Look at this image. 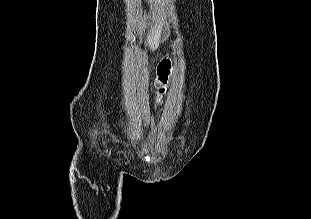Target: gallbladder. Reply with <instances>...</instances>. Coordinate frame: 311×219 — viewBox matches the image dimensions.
I'll list each match as a JSON object with an SVG mask.
<instances>
[{
    "instance_id": "gallbladder-1",
    "label": "gallbladder",
    "mask_w": 311,
    "mask_h": 219,
    "mask_svg": "<svg viewBox=\"0 0 311 219\" xmlns=\"http://www.w3.org/2000/svg\"><path fill=\"white\" fill-rule=\"evenodd\" d=\"M169 35H170V27L168 25H164L162 30H161L162 41L168 39Z\"/></svg>"
}]
</instances>
